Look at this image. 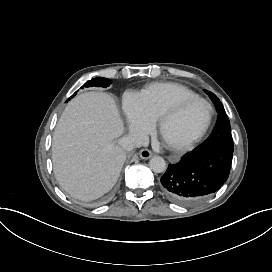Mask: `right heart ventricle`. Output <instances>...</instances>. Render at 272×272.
Returning a JSON list of instances; mask_svg holds the SVG:
<instances>
[{"label": "right heart ventricle", "mask_w": 272, "mask_h": 272, "mask_svg": "<svg viewBox=\"0 0 272 272\" xmlns=\"http://www.w3.org/2000/svg\"><path fill=\"white\" fill-rule=\"evenodd\" d=\"M196 96L194 92L179 84H154L137 95L141 110L151 118H159L171 109L180 99Z\"/></svg>", "instance_id": "e07e8e85"}]
</instances>
